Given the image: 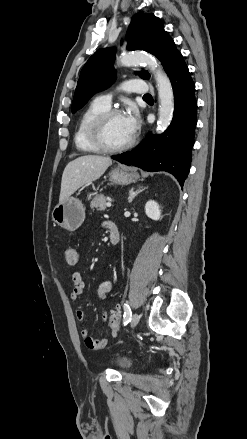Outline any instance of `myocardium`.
I'll return each instance as SVG.
<instances>
[{"instance_id":"myocardium-1","label":"myocardium","mask_w":247,"mask_h":439,"mask_svg":"<svg viewBox=\"0 0 247 439\" xmlns=\"http://www.w3.org/2000/svg\"><path fill=\"white\" fill-rule=\"evenodd\" d=\"M123 115L121 110L118 109H108L103 113L99 114L91 123L89 130V137L92 144L99 149L101 152L106 153H118L125 151L133 146L135 142V138L131 137V139L123 145L112 147L109 146L104 138V131L107 122L114 116Z\"/></svg>"}]
</instances>
